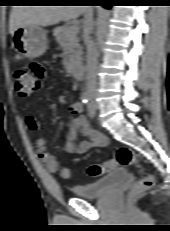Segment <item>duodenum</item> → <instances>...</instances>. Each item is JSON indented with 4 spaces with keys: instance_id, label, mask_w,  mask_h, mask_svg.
Segmentation results:
<instances>
[{
    "instance_id": "obj_1",
    "label": "duodenum",
    "mask_w": 170,
    "mask_h": 231,
    "mask_svg": "<svg viewBox=\"0 0 170 231\" xmlns=\"http://www.w3.org/2000/svg\"><path fill=\"white\" fill-rule=\"evenodd\" d=\"M86 68L84 65H79L77 68L74 70L76 75H83L85 74Z\"/></svg>"
}]
</instances>
